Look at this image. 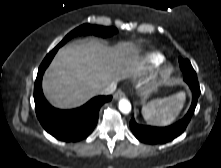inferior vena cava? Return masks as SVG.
I'll list each match as a JSON object with an SVG mask.
<instances>
[{"instance_id":"inferior-vena-cava-1","label":"inferior vena cava","mask_w":221,"mask_h":168,"mask_svg":"<svg viewBox=\"0 0 221 168\" xmlns=\"http://www.w3.org/2000/svg\"><path fill=\"white\" fill-rule=\"evenodd\" d=\"M116 83H111L100 91L101 95H110L116 90Z\"/></svg>"}]
</instances>
